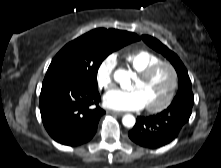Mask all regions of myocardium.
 I'll list each match as a JSON object with an SVG mask.
<instances>
[{"label": "myocardium", "instance_id": "f54148a6", "mask_svg": "<svg viewBox=\"0 0 221 168\" xmlns=\"http://www.w3.org/2000/svg\"><path fill=\"white\" fill-rule=\"evenodd\" d=\"M162 67H167L170 70L171 75H172V83H171V87H170V90H169L166 98L161 103L154 105V106H146L147 111H149L151 113L160 112V111L166 109L172 103V101L176 95L178 85H179L178 70L171 62L160 61L158 63H155V64L149 66L148 68L141 71L137 75V77L140 80L144 81V80L149 79L158 69H160Z\"/></svg>", "mask_w": 221, "mask_h": 168}]
</instances>
